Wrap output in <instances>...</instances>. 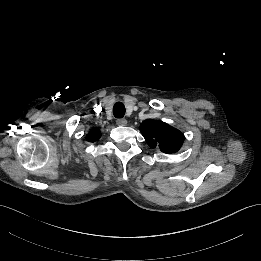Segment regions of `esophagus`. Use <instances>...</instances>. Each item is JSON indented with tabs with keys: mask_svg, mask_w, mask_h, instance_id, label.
I'll return each mask as SVG.
<instances>
[{
	"mask_svg": "<svg viewBox=\"0 0 261 261\" xmlns=\"http://www.w3.org/2000/svg\"><path fill=\"white\" fill-rule=\"evenodd\" d=\"M116 124H117L118 126H126L127 120L124 119V118H119V119L116 120Z\"/></svg>",
	"mask_w": 261,
	"mask_h": 261,
	"instance_id": "1",
	"label": "esophagus"
}]
</instances>
